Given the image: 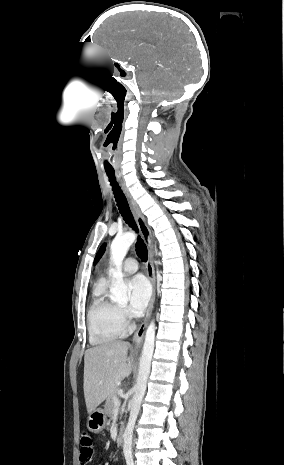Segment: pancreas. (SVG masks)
<instances>
[{
  "label": "pancreas",
  "instance_id": "cf45deb5",
  "mask_svg": "<svg viewBox=\"0 0 284 465\" xmlns=\"http://www.w3.org/2000/svg\"><path fill=\"white\" fill-rule=\"evenodd\" d=\"M118 391L119 389H117L116 387V389H113V391H111L110 395H108L106 399V403L104 407H105V415H108V417H111V415H113V409H114L113 399L114 397H117Z\"/></svg>",
  "mask_w": 284,
  "mask_h": 465
}]
</instances>
